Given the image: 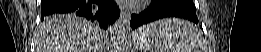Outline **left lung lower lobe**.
Returning a JSON list of instances; mask_svg holds the SVG:
<instances>
[{"label":"left lung lower lobe","instance_id":"left-lung-lower-lobe-1","mask_svg":"<svg viewBox=\"0 0 261 52\" xmlns=\"http://www.w3.org/2000/svg\"><path fill=\"white\" fill-rule=\"evenodd\" d=\"M165 17H180L198 23L195 5L182 0H154L148 9L131 16L130 25L135 29Z\"/></svg>","mask_w":261,"mask_h":52}]
</instances>
